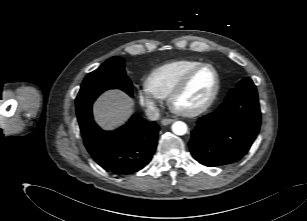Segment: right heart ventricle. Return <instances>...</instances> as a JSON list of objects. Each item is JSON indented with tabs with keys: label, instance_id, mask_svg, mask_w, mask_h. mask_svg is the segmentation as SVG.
Returning a JSON list of instances; mask_svg holds the SVG:
<instances>
[{
	"label": "right heart ventricle",
	"instance_id": "right-heart-ventricle-1",
	"mask_svg": "<svg viewBox=\"0 0 307 221\" xmlns=\"http://www.w3.org/2000/svg\"><path fill=\"white\" fill-rule=\"evenodd\" d=\"M203 62L197 60H177L154 68L145 78L147 92L158 99H166L182 78Z\"/></svg>",
	"mask_w": 307,
	"mask_h": 221
}]
</instances>
